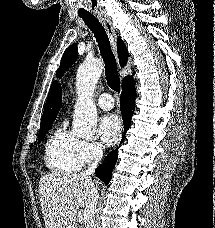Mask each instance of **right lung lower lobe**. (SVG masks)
<instances>
[{
  "label": "right lung lower lobe",
  "instance_id": "obj_1",
  "mask_svg": "<svg viewBox=\"0 0 215 228\" xmlns=\"http://www.w3.org/2000/svg\"><path fill=\"white\" fill-rule=\"evenodd\" d=\"M135 99H136V90H135V81L132 77L127 76L123 79L122 82V92L120 97V109L122 112V118L124 123V134L129 129L131 124V116L134 114L135 110ZM124 140L121 141V143ZM118 157L117 150L111 151L106 157H105V163L98 166L95 170V173L97 177L102 180L105 184H109L111 177H112V171L115 167L116 161Z\"/></svg>",
  "mask_w": 215,
  "mask_h": 228
}]
</instances>
